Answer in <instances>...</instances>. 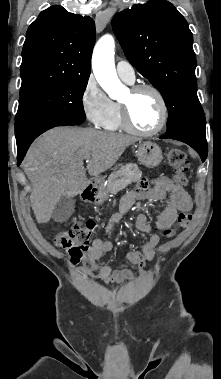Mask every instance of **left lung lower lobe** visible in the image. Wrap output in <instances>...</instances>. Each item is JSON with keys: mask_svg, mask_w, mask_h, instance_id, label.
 <instances>
[{"mask_svg": "<svg viewBox=\"0 0 221 379\" xmlns=\"http://www.w3.org/2000/svg\"><path fill=\"white\" fill-rule=\"evenodd\" d=\"M161 138L175 139L187 143L194 148L204 162L207 157V141L206 136H200L196 133L186 130H177L166 132Z\"/></svg>", "mask_w": 221, "mask_h": 379, "instance_id": "obj_1", "label": "left lung lower lobe"}]
</instances>
